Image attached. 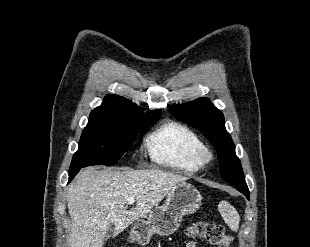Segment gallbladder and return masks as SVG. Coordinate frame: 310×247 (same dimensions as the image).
Here are the masks:
<instances>
[{"label": "gallbladder", "instance_id": "1", "mask_svg": "<svg viewBox=\"0 0 310 247\" xmlns=\"http://www.w3.org/2000/svg\"><path fill=\"white\" fill-rule=\"evenodd\" d=\"M113 233H114V229L111 227L108 228L104 240L105 241L108 240L113 235Z\"/></svg>", "mask_w": 310, "mask_h": 247}]
</instances>
